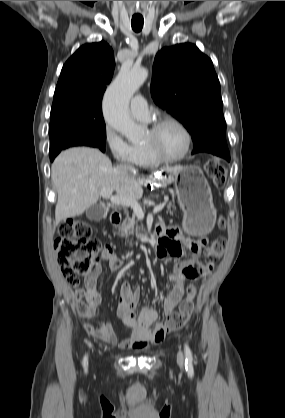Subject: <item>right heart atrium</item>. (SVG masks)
<instances>
[{"instance_id":"1","label":"right heart atrium","mask_w":285,"mask_h":418,"mask_svg":"<svg viewBox=\"0 0 285 418\" xmlns=\"http://www.w3.org/2000/svg\"><path fill=\"white\" fill-rule=\"evenodd\" d=\"M103 141L113 158L122 165L135 163L131 145L123 139L110 125H106Z\"/></svg>"}]
</instances>
